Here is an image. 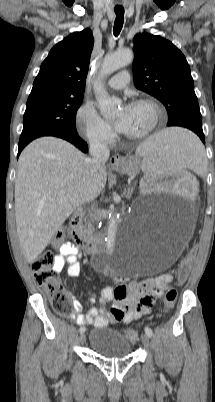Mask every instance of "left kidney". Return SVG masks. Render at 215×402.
<instances>
[{
    "mask_svg": "<svg viewBox=\"0 0 215 402\" xmlns=\"http://www.w3.org/2000/svg\"><path fill=\"white\" fill-rule=\"evenodd\" d=\"M147 178L142 179V186L146 192L162 191L166 193H180V198H194V193L199 191V186L196 184V179L193 174L186 172H177L171 170L169 173L165 170L157 172L156 170H148Z\"/></svg>",
    "mask_w": 215,
    "mask_h": 402,
    "instance_id": "left-kidney-1",
    "label": "left kidney"
}]
</instances>
